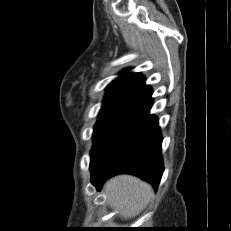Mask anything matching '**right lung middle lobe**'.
I'll list each match as a JSON object with an SVG mask.
<instances>
[{
  "label": "right lung middle lobe",
  "mask_w": 231,
  "mask_h": 231,
  "mask_svg": "<svg viewBox=\"0 0 231 231\" xmlns=\"http://www.w3.org/2000/svg\"><path fill=\"white\" fill-rule=\"evenodd\" d=\"M150 104L128 98L104 99L94 130L91 158L123 128L149 110Z\"/></svg>",
  "instance_id": "1"
}]
</instances>
